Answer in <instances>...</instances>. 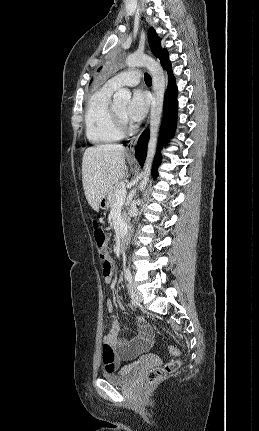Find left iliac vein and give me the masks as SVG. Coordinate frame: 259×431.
Instances as JSON below:
<instances>
[{"label":"left iliac vein","instance_id":"left-iliac-vein-1","mask_svg":"<svg viewBox=\"0 0 259 431\" xmlns=\"http://www.w3.org/2000/svg\"><path fill=\"white\" fill-rule=\"evenodd\" d=\"M128 289H129V292H130L132 298L135 301L142 302V300H143L142 293L136 288V286L132 282H129Z\"/></svg>","mask_w":259,"mask_h":431}]
</instances>
